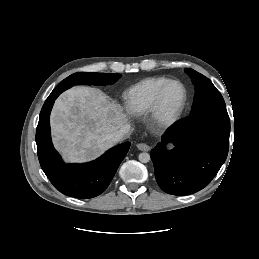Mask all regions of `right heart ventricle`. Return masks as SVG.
Returning a JSON list of instances; mask_svg holds the SVG:
<instances>
[{
  "label": "right heart ventricle",
  "mask_w": 259,
  "mask_h": 259,
  "mask_svg": "<svg viewBox=\"0 0 259 259\" xmlns=\"http://www.w3.org/2000/svg\"><path fill=\"white\" fill-rule=\"evenodd\" d=\"M168 80L166 77H150L131 86L123 94L126 111L133 116L150 113L154 107L157 92Z\"/></svg>",
  "instance_id": "1"
}]
</instances>
